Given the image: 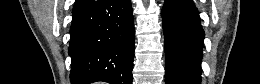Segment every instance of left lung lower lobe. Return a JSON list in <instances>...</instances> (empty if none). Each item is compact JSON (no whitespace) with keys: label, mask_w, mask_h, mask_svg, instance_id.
I'll return each mask as SVG.
<instances>
[{"label":"left lung lower lobe","mask_w":260,"mask_h":84,"mask_svg":"<svg viewBox=\"0 0 260 84\" xmlns=\"http://www.w3.org/2000/svg\"><path fill=\"white\" fill-rule=\"evenodd\" d=\"M166 84H200L204 31L191 0H166L162 9Z\"/></svg>","instance_id":"left-lung-lower-lobe-1"}]
</instances>
